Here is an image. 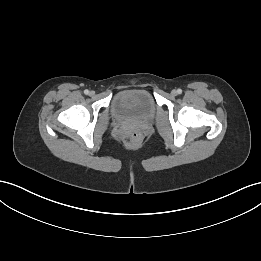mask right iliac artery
<instances>
[{"label":"right iliac artery","mask_w":261,"mask_h":261,"mask_svg":"<svg viewBox=\"0 0 261 261\" xmlns=\"http://www.w3.org/2000/svg\"><path fill=\"white\" fill-rule=\"evenodd\" d=\"M84 94L88 95V94H89V90L86 89V90L84 91Z\"/></svg>","instance_id":"1"}]
</instances>
